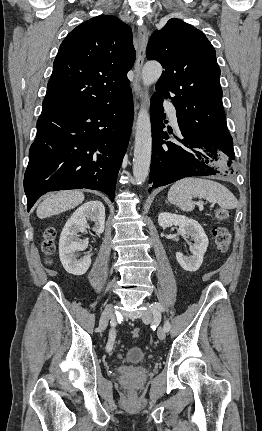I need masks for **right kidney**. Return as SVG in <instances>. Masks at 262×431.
<instances>
[{"instance_id":"obj_1","label":"right kidney","mask_w":262,"mask_h":431,"mask_svg":"<svg viewBox=\"0 0 262 431\" xmlns=\"http://www.w3.org/2000/svg\"><path fill=\"white\" fill-rule=\"evenodd\" d=\"M94 222V230L100 234L105 227V208L102 202L89 201L80 206L67 220L59 240V256L64 269L73 275H83L91 265V255L78 259L77 251L88 247V241L78 238L85 232L87 221Z\"/></svg>"}]
</instances>
